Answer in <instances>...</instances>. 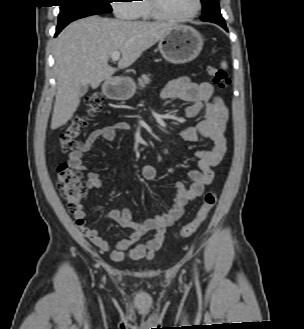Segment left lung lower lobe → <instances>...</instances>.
Returning a JSON list of instances; mask_svg holds the SVG:
<instances>
[{"label":"left lung lower lobe","instance_id":"1","mask_svg":"<svg viewBox=\"0 0 304 329\" xmlns=\"http://www.w3.org/2000/svg\"><path fill=\"white\" fill-rule=\"evenodd\" d=\"M201 20L216 23L220 25L222 28H224L226 31H228L224 18L220 13V8L218 3L211 5L207 10L203 11Z\"/></svg>","mask_w":304,"mask_h":329}]
</instances>
